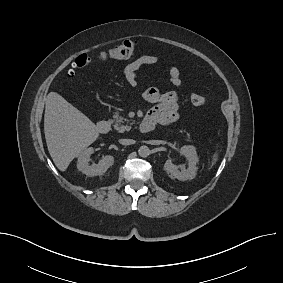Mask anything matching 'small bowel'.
<instances>
[{
    "instance_id": "1",
    "label": "small bowel",
    "mask_w": 283,
    "mask_h": 283,
    "mask_svg": "<svg viewBox=\"0 0 283 283\" xmlns=\"http://www.w3.org/2000/svg\"><path fill=\"white\" fill-rule=\"evenodd\" d=\"M159 58L156 55H143L129 63L123 69V76L125 80L131 85H137L138 71L149 65H154L158 62ZM168 76L170 83L179 87L181 85L180 71L176 67L168 69ZM143 98L153 107L148 111L146 118L155 125L171 124L179 118V103L178 96L173 91L161 92L156 87H150L143 93Z\"/></svg>"
}]
</instances>
